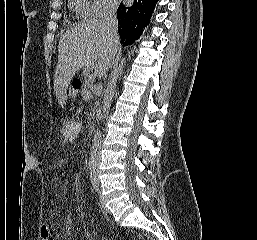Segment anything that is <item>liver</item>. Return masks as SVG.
<instances>
[{"mask_svg": "<svg viewBox=\"0 0 257 240\" xmlns=\"http://www.w3.org/2000/svg\"><path fill=\"white\" fill-rule=\"evenodd\" d=\"M54 90L61 106L67 100V89L75 73L95 71L103 77L120 50L103 29V21L88 20L68 30L59 41Z\"/></svg>", "mask_w": 257, "mask_h": 240, "instance_id": "1", "label": "liver"}]
</instances>
